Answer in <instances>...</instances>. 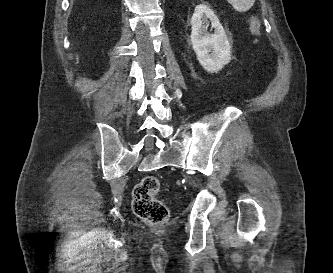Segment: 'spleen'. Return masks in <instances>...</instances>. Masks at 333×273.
<instances>
[{"instance_id":"spleen-1","label":"spleen","mask_w":333,"mask_h":273,"mask_svg":"<svg viewBox=\"0 0 333 273\" xmlns=\"http://www.w3.org/2000/svg\"><path fill=\"white\" fill-rule=\"evenodd\" d=\"M227 1L238 12H245L249 10L255 2V0H227Z\"/></svg>"}]
</instances>
